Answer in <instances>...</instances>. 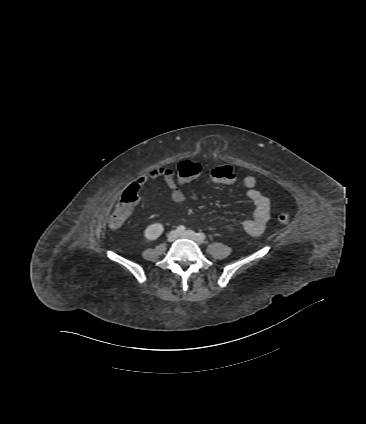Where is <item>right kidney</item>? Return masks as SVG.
<instances>
[{"label":"right kidney","instance_id":"ca27d5eb","mask_svg":"<svg viewBox=\"0 0 366 424\" xmlns=\"http://www.w3.org/2000/svg\"><path fill=\"white\" fill-rule=\"evenodd\" d=\"M164 231V227L160 223L149 225L144 231V237L147 241L156 240Z\"/></svg>","mask_w":366,"mask_h":424}]
</instances>
